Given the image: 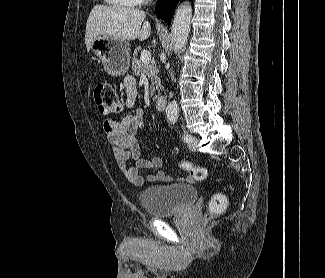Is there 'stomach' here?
Here are the masks:
<instances>
[{
  "label": "stomach",
  "mask_w": 325,
  "mask_h": 278,
  "mask_svg": "<svg viewBox=\"0 0 325 278\" xmlns=\"http://www.w3.org/2000/svg\"><path fill=\"white\" fill-rule=\"evenodd\" d=\"M91 51L113 76L124 75L130 67V46L126 40L98 36L91 45Z\"/></svg>",
  "instance_id": "obj_1"
}]
</instances>
